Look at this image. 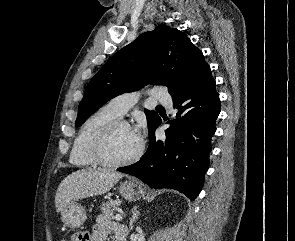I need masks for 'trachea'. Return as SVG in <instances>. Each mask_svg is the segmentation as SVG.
<instances>
[{
  "label": "trachea",
  "instance_id": "obj_1",
  "mask_svg": "<svg viewBox=\"0 0 295 241\" xmlns=\"http://www.w3.org/2000/svg\"><path fill=\"white\" fill-rule=\"evenodd\" d=\"M157 107H158V108H163V106H161V105H157Z\"/></svg>",
  "mask_w": 295,
  "mask_h": 241
}]
</instances>
